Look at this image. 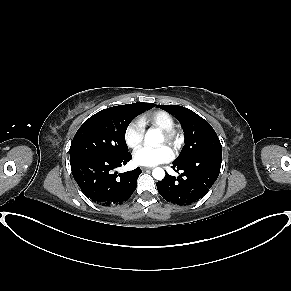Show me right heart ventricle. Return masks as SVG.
<instances>
[{
    "instance_id": "obj_1",
    "label": "right heart ventricle",
    "mask_w": 291,
    "mask_h": 291,
    "mask_svg": "<svg viewBox=\"0 0 291 291\" xmlns=\"http://www.w3.org/2000/svg\"><path fill=\"white\" fill-rule=\"evenodd\" d=\"M140 122L143 126L149 125L159 130L171 129L175 126L173 116L163 110L147 112L141 116Z\"/></svg>"
}]
</instances>
